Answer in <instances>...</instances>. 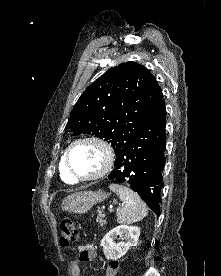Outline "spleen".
Instances as JSON below:
<instances>
[{
    "instance_id": "obj_1",
    "label": "spleen",
    "mask_w": 221,
    "mask_h": 276,
    "mask_svg": "<svg viewBox=\"0 0 221 276\" xmlns=\"http://www.w3.org/2000/svg\"><path fill=\"white\" fill-rule=\"evenodd\" d=\"M109 189L115 192L121 201L124 202V206L117 209L116 215L118 223L131 224L141 221L146 217L148 209L138 194L118 184L109 185Z\"/></svg>"
}]
</instances>
